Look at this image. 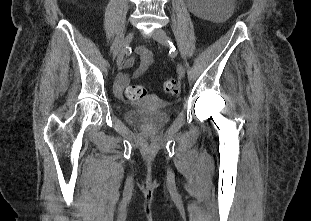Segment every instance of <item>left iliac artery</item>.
I'll return each instance as SVG.
<instances>
[{
  "instance_id": "1",
  "label": "left iliac artery",
  "mask_w": 311,
  "mask_h": 221,
  "mask_svg": "<svg viewBox=\"0 0 311 221\" xmlns=\"http://www.w3.org/2000/svg\"><path fill=\"white\" fill-rule=\"evenodd\" d=\"M168 42H169V46H170V53H171L172 55H176V54H177V51H176L175 46L173 45L172 42H170V41H168Z\"/></svg>"
}]
</instances>
